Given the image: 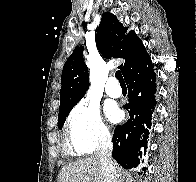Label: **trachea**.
I'll return each instance as SVG.
<instances>
[{"mask_svg": "<svg viewBox=\"0 0 196 182\" xmlns=\"http://www.w3.org/2000/svg\"><path fill=\"white\" fill-rule=\"evenodd\" d=\"M115 77L118 79V81L120 82V85H126L124 78L122 76V73L118 70L115 74Z\"/></svg>", "mask_w": 196, "mask_h": 182, "instance_id": "trachea-1", "label": "trachea"}]
</instances>
